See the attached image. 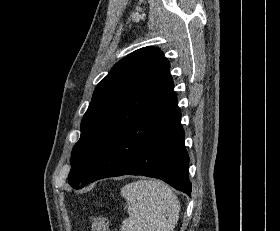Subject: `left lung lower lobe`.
<instances>
[{"instance_id":"obj_1","label":"left lung lower lobe","mask_w":280,"mask_h":231,"mask_svg":"<svg viewBox=\"0 0 280 231\" xmlns=\"http://www.w3.org/2000/svg\"><path fill=\"white\" fill-rule=\"evenodd\" d=\"M177 104L173 91L150 113L121 131L77 189L102 178L143 175L161 179L190 196L189 156Z\"/></svg>"}]
</instances>
